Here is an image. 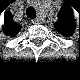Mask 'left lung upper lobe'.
<instances>
[{
    "label": "left lung upper lobe",
    "mask_w": 80,
    "mask_h": 80,
    "mask_svg": "<svg viewBox=\"0 0 80 80\" xmlns=\"http://www.w3.org/2000/svg\"><path fill=\"white\" fill-rule=\"evenodd\" d=\"M56 29L65 35L70 34L73 31V23L70 16V10L68 7L64 6L58 15V21L55 24Z\"/></svg>",
    "instance_id": "5c2ea615"
}]
</instances>
